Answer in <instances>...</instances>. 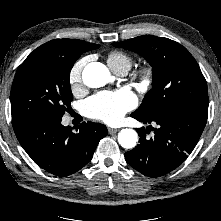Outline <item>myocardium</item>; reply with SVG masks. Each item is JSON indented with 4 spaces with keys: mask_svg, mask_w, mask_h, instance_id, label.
Segmentation results:
<instances>
[{
    "mask_svg": "<svg viewBox=\"0 0 221 221\" xmlns=\"http://www.w3.org/2000/svg\"><path fill=\"white\" fill-rule=\"evenodd\" d=\"M153 74L152 66L146 64L137 70L136 77L141 84L148 86L153 80Z\"/></svg>",
    "mask_w": 221,
    "mask_h": 221,
    "instance_id": "1",
    "label": "myocardium"
}]
</instances>
